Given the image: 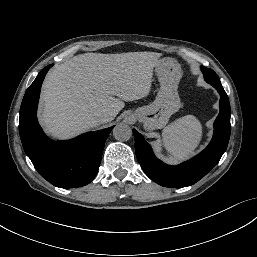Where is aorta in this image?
I'll list each match as a JSON object with an SVG mask.
<instances>
[{
	"mask_svg": "<svg viewBox=\"0 0 257 257\" xmlns=\"http://www.w3.org/2000/svg\"><path fill=\"white\" fill-rule=\"evenodd\" d=\"M113 136L118 141H127L132 136V130L129 125L120 123L114 127Z\"/></svg>",
	"mask_w": 257,
	"mask_h": 257,
	"instance_id": "obj_1",
	"label": "aorta"
}]
</instances>
